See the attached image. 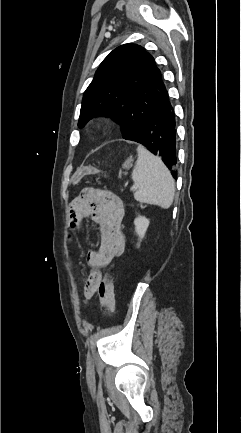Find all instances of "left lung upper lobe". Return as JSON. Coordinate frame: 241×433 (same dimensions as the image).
<instances>
[{"label":"left lung upper lobe","mask_w":241,"mask_h":433,"mask_svg":"<svg viewBox=\"0 0 241 433\" xmlns=\"http://www.w3.org/2000/svg\"><path fill=\"white\" fill-rule=\"evenodd\" d=\"M166 93L152 55L139 45H121L103 60L86 89L78 126L95 115H110L121 124L125 139L149 118Z\"/></svg>","instance_id":"1"}]
</instances>
